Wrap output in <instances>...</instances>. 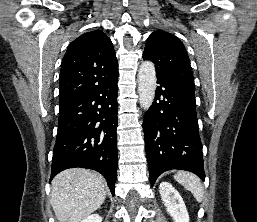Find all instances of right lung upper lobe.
<instances>
[{"label": "right lung upper lobe", "instance_id": "right-lung-upper-lobe-1", "mask_svg": "<svg viewBox=\"0 0 257 222\" xmlns=\"http://www.w3.org/2000/svg\"><path fill=\"white\" fill-rule=\"evenodd\" d=\"M117 71L118 62L109 37L101 30L82 34L68 46L62 60L60 106L95 90Z\"/></svg>", "mask_w": 257, "mask_h": 222}]
</instances>
